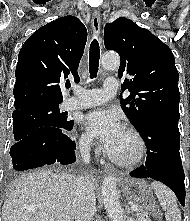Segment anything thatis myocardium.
Listing matches in <instances>:
<instances>
[{
    "mask_svg": "<svg viewBox=\"0 0 190 221\" xmlns=\"http://www.w3.org/2000/svg\"><path fill=\"white\" fill-rule=\"evenodd\" d=\"M124 130L127 131L129 134H131L137 141L138 153L136 157L131 160H122L112 155L108 150H106V156L108 157L110 161H112L113 163H115L116 165L120 167L133 168V167L138 166L145 158L146 142L143 136L141 135V133L136 128L132 126H125Z\"/></svg>",
    "mask_w": 190,
    "mask_h": 221,
    "instance_id": "obj_1",
    "label": "myocardium"
}]
</instances>
